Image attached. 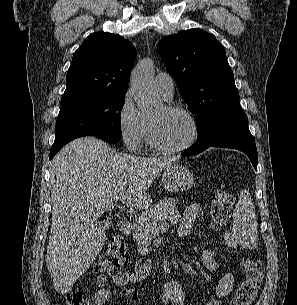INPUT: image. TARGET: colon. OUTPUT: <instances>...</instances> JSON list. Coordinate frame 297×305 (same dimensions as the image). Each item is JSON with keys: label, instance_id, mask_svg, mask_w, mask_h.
Wrapping results in <instances>:
<instances>
[{"label": "colon", "instance_id": "obj_1", "mask_svg": "<svg viewBox=\"0 0 297 305\" xmlns=\"http://www.w3.org/2000/svg\"><path fill=\"white\" fill-rule=\"evenodd\" d=\"M233 205L232 194L219 189L213 195L210 222L214 230L220 229L228 220ZM127 262L126 245L121 235L113 236L105 247L96 266L99 277L113 275ZM244 278L238 285L228 305H251L260 291L263 281L261 263L255 258H245L241 263ZM67 305H90L81 289L70 290L66 296Z\"/></svg>", "mask_w": 297, "mask_h": 305}]
</instances>
